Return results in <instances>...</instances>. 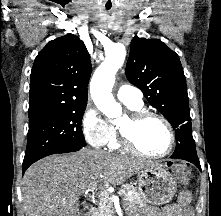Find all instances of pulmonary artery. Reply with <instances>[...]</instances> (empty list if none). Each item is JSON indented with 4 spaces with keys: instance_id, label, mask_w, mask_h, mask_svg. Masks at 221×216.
<instances>
[{
    "instance_id": "1",
    "label": "pulmonary artery",
    "mask_w": 221,
    "mask_h": 216,
    "mask_svg": "<svg viewBox=\"0 0 221 216\" xmlns=\"http://www.w3.org/2000/svg\"><path fill=\"white\" fill-rule=\"evenodd\" d=\"M117 98L123 103L137 104L142 103V92L129 84L121 85L117 89Z\"/></svg>"
}]
</instances>
